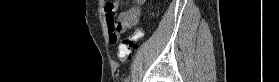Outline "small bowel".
Listing matches in <instances>:
<instances>
[{"instance_id":"c3829d8e","label":"small bowel","mask_w":279,"mask_h":82,"mask_svg":"<svg viewBox=\"0 0 279 82\" xmlns=\"http://www.w3.org/2000/svg\"><path fill=\"white\" fill-rule=\"evenodd\" d=\"M142 4L143 0H135V5L122 11L118 15L117 20H115V12L119 7V1L110 2L105 5L106 22L112 44L118 43L122 33L138 24L140 19V6Z\"/></svg>"}]
</instances>
